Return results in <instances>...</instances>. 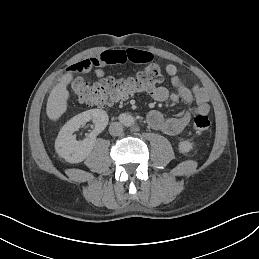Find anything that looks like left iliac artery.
I'll list each match as a JSON object with an SVG mask.
<instances>
[{
    "instance_id": "44dca946",
    "label": "left iliac artery",
    "mask_w": 259,
    "mask_h": 259,
    "mask_svg": "<svg viewBox=\"0 0 259 259\" xmlns=\"http://www.w3.org/2000/svg\"><path fill=\"white\" fill-rule=\"evenodd\" d=\"M134 123V119L132 117L128 118V124H133Z\"/></svg>"
}]
</instances>
